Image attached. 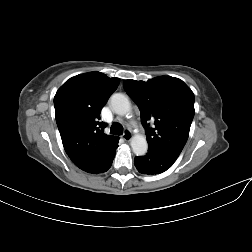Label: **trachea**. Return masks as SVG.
Returning <instances> with one entry per match:
<instances>
[{"instance_id":"3493384b","label":"trachea","mask_w":252,"mask_h":252,"mask_svg":"<svg viewBox=\"0 0 252 252\" xmlns=\"http://www.w3.org/2000/svg\"><path fill=\"white\" fill-rule=\"evenodd\" d=\"M111 134H114V135H122L123 134V128H122V125L118 122H115L112 124L111 126Z\"/></svg>"}]
</instances>
